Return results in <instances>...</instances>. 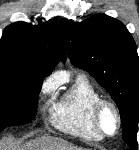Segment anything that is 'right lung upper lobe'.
Listing matches in <instances>:
<instances>
[{
	"mask_svg": "<svg viewBox=\"0 0 139 150\" xmlns=\"http://www.w3.org/2000/svg\"><path fill=\"white\" fill-rule=\"evenodd\" d=\"M65 54L55 20L31 25L16 22L5 28L0 39V69L31 72L43 79Z\"/></svg>",
	"mask_w": 139,
	"mask_h": 150,
	"instance_id": "cb5924a9",
	"label": "right lung upper lobe"
}]
</instances>
